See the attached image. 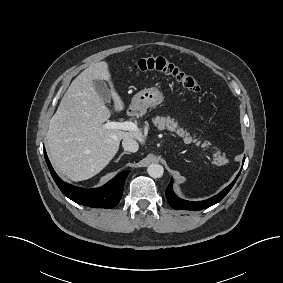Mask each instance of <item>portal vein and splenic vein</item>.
Here are the masks:
<instances>
[{
	"instance_id": "1",
	"label": "portal vein and splenic vein",
	"mask_w": 283,
	"mask_h": 283,
	"mask_svg": "<svg viewBox=\"0 0 283 283\" xmlns=\"http://www.w3.org/2000/svg\"><path fill=\"white\" fill-rule=\"evenodd\" d=\"M104 127L107 129H120L125 131H132L137 132L139 131L138 126L131 122V121H125V122H106L104 124Z\"/></svg>"
}]
</instances>
